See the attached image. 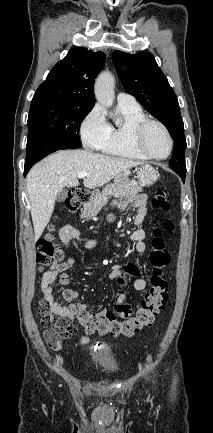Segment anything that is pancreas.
Here are the masks:
<instances>
[{"label":"pancreas","mask_w":213,"mask_h":433,"mask_svg":"<svg viewBox=\"0 0 213 433\" xmlns=\"http://www.w3.org/2000/svg\"><path fill=\"white\" fill-rule=\"evenodd\" d=\"M141 191L142 187L135 181H130L126 176H117L113 183L107 184L100 194L84 205L80 217L89 219L96 216L111 196H134Z\"/></svg>","instance_id":"pancreas-1"}]
</instances>
